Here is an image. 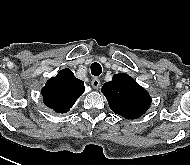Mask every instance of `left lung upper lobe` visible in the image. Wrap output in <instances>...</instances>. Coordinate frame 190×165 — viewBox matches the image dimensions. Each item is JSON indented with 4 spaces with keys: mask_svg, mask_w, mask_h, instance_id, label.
I'll return each mask as SVG.
<instances>
[{
    "mask_svg": "<svg viewBox=\"0 0 190 165\" xmlns=\"http://www.w3.org/2000/svg\"><path fill=\"white\" fill-rule=\"evenodd\" d=\"M111 110L126 119L142 116L150 107L148 92L125 73L115 74L112 81L102 87Z\"/></svg>",
    "mask_w": 190,
    "mask_h": 165,
    "instance_id": "left-lung-upper-lobe-1",
    "label": "left lung upper lobe"
}]
</instances>
